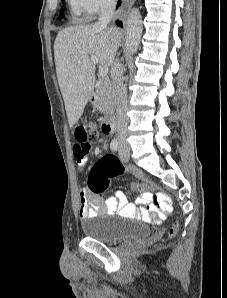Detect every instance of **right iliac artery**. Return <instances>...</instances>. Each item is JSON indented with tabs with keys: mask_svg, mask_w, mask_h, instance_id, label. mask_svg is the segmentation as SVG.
I'll use <instances>...</instances> for the list:
<instances>
[{
	"mask_svg": "<svg viewBox=\"0 0 227 298\" xmlns=\"http://www.w3.org/2000/svg\"><path fill=\"white\" fill-rule=\"evenodd\" d=\"M119 147V141L117 139H113L110 144V148L112 151H117Z\"/></svg>",
	"mask_w": 227,
	"mask_h": 298,
	"instance_id": "82829eb1",
	"label": "right iliac artery"
}]
</instances>
